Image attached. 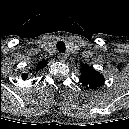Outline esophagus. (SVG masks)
<instances>
[{
	"label": "esophagus",
	"mask_w": 129,
	"mask_h": 129,
	"mask_svg": "<svg viewBox=\"0 0 129 129\" xmlns=\"http://www.w3.org/2000/svg\"><path fill=\"white\" fill-rule=\"evenodd\" d=\"M58 59L63 62V61L66 60V55L63 54V53H60V54L58 55Z\"/></svg>",
	"instance_id": "1"
}]
</instances>
